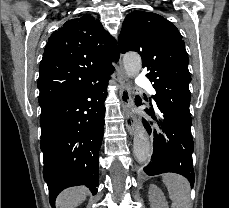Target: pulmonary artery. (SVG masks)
<instances>
[{
	"mask_svg": "<svg viewBox=\"0 0 229 208\" xmlns=\"http://www.w3.org/2000/svg\"><path fill=\"white\" fill-rule=\"evenodd\" d=\"M137 82H138L139 87H147L148 90L150 91V93H155L154 89L149 84V82H150L149 78H138Z\"/></svg>",
	"mask_w": 229,
	"mask_h": 208,
	"instance_id": "1",
	"label": "pulmonary artery"
}]
</instances>
